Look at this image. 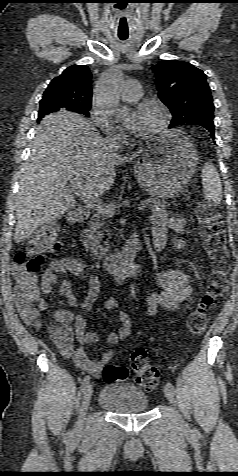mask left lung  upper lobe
<instances>
[{
	"label": "left lung upper lobe",
	"mask_w": 238,
	"mask_h": 476,
	"mask_svg": "<svg viewBox=\"0 0 238 476\" xmlns=\"http://www.w3.org/2000/svg\"><path fill=\"white\" fill-rule=\"evenodd\" d=\"M160 100L173 118L169 128L212 124L213 99L204 72L185 61L162 60L152 67Z\"/></svg>",
	"instance_id": "1"
}]
</instances>
